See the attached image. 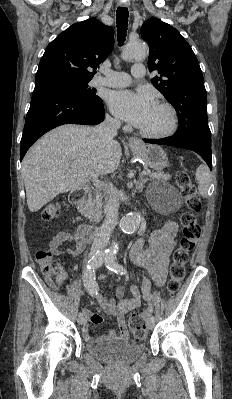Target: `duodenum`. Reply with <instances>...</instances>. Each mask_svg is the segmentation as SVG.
Wrapping results in <instances>:
<instances>
[{"mask_svg":"<svg viewBox=\"0 0 232 399\" xmlns=\"http://www.w3.org/2000/svg\"><path fill=\"white\" fill-rule=\"evenodd\" d=\"M85 195H86L85 189L74 190L73 192H71L69 196L71 204L76 208L79 207L83 202ZM96 234H97V228L93 226H84L77 233L79 238L85 243L92 242L95 239Z\"/></svg>","mask_w":232,"mask_h":399,"instance_id":"1","label":"duodenum"}]
</instances>
